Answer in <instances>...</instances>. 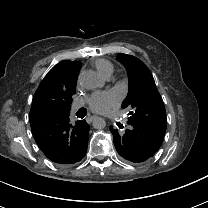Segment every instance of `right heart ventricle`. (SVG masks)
<instances>
[{
    "instance_id": "obj_1",
    "label": "right heart ventricle",
    "mask_w": 208,
    "mask_h": 208,
    "mask_svg": "<svg viewBox=\"0 0 208 208\" xmlns=\"http://www.w3.org/2000/svg\"><path fill=\"white\" fill-rule=\"evenodd\" d=\"M94 67L105 78H110L114 72V66L112 65V63L105 59L96 60L94 63Z\"/></svg>"
}]
</instances>
